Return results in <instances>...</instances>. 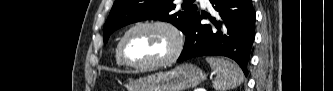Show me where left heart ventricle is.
Returning a JSON list of instances; mask_svg holds the SVG:
<instances>
[{
	"label": "left heart ventricle",
	"instance_id": "b2bd125f",
	"mask_svg": "<svg viewBox=\"0 0 333 91\" xmlns=\"http://www.w3.org/2000/svg\"><path fill=\"white\" fill-rule=\"evenodd\" d=\"M174 40L165 29L145 27L134 31L127 40L126 53L136 63H149L168 57Z\"/></svg>",
	"mask_w": 333,
	"mask_h": 91
}]
</instances>
